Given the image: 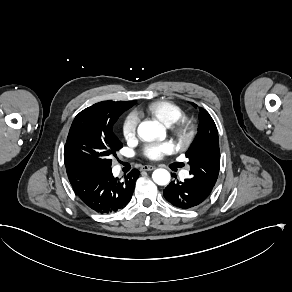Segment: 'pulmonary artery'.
Returning a JSON list of instances; mask_svg holds the SVG:
<instances>
[{
  "mask_svg": "<svg viewBox=\"0 0 292 292\" xmlns=\"http://www.w3.org/2000/svg\"><path fill=\"white\" fill-rule=\"evenodd\" d=\"M170 127V126H168ZM189 176V170H186L184 173H183V177H188Z\"/></svg>",
  "mask_w": 292,
  "mask_h": 292,
  "instance_id": "e3ab8cb5",
  "label": "pulmonary artery"
}]
</instances>
